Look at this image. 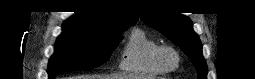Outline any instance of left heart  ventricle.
<instances>
[{"label": "left heart ventricle", "mask_w": 255, "mask_h": 79, "mask_svg": "<svg viewBox=\"0 0 255 79\" xmlns=\"http://www.w3.org/2000/svg\"><path fill=\"white\" fill-rule=\"evenodd\" d=\"M165 57H166V60L168 61V63L170 65H175L176 64L177 60H176V57L174 56V54L166 53Z\"/></svg>", "instance_id": "b2bd125f"}]
</instances>
